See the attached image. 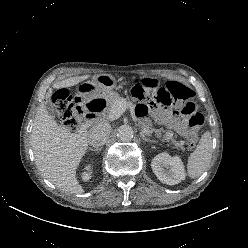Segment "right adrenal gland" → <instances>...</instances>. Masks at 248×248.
Segmentation results:
<instances>
[{
	"mask_svg": "<svg viewBox=\"0 0 248 248\" xmlns=\"http://www.w3.org/2000/svg\"><path fill=\"white\" fill-rule=\"evenodd\" d=\"M88 150L96 151L97 153H99L102 150V148H98V147H96V148H88Z\"/></svg>",
	"mask_w": 248,
	"mask_h": 248,
	"instance_id": "right-adrenal-gland-1",
	"label": "right adrenal gland"
}]
</instances>
